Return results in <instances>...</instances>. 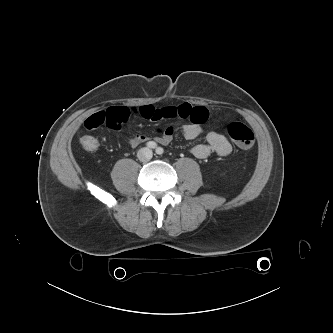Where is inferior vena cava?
Wrapping results in <instances>:
<instances>
[{"label":"inferior vena cava","instance_id":"602c4592","mask_svg":"<svg viewBox=\"0 0 333 333\" xmlns=\"http://www.w3.org/2000/svg\"><path fill=\"white\" fill-rule=\"evenodd\" d=\"M152 156H153L152 150L147 147L141 148L137 153L138 159L142 162L149 161L152 158Z\"/></svg>","mask_w":333,"mask_h":333}]
</instances>
